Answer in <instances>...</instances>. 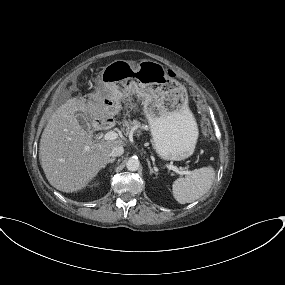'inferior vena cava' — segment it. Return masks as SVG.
<instances>
[{
  "mask_svg": "<svg viewBox=\"0 0 285 285\" xmlns=\"http://www.w3.org/2000/svg\"><path fill=\"white\" fill-rule=\"evenodd\" d=\"M124 153V148L122 146H116L111 151L112 157H118L121 156Z\"/></svg>",
  "mask_w": 285,
  "mask_h": 285,
  "instance_id": "1",
  "label": "inferior vena cava"
}]
</instances>
